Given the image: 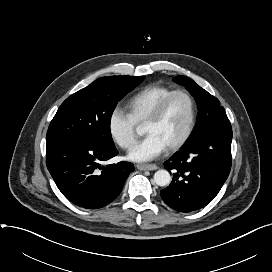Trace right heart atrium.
Wrapping results in <instances>:
<instances>
[{"label":"right heart atrium","mask_w":272,"mask_h":272,"mask_svg":"<svg viewBox=\"0 0 272 272\" xmlns=\"http://www.w3.org/2000/svg\"><path fill=\"white\" fill-rule=\"evenodd\" d=\"M136 126L129 114L115 108L108 118V132L113 141L122 149L128 150L136 141Z\"/></svg>","instance_id":"right-heart-atrium-1"}]
</instances>
